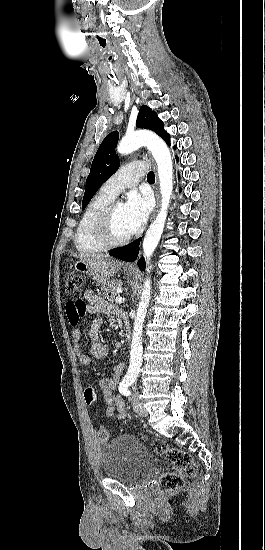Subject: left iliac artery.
I'll return each mask as SVG.
<instances>
[{"label": "left iliac artery", "instance_id": "left-iliac-artery-1", "mask_svg": "<svg viewBox=\"0 0 265 550\" xmlns=\"http://www.w3.org/2000/svg\"><path fill=\"white\" fill-rule=\"evenodd\" d=\"M134 383V379H127L126 381H122L119 386V391L124 396H130L131 392L128 390V387Z\"/></svg>", "mask_w": 265, "mask_h": 550}]
</instances>
